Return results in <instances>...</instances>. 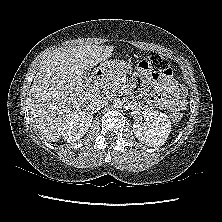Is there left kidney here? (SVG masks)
Listing matches in <instances>:
<instances>
[{
  "label": "left kidney",
  "mask_w": 222,
  "mask_h": 222,
  "mask_svg": "<svg viewBox=\"0 0 222 222\" xmlns=\"http://www.w3.org/2000/svg\"><path fill=\"white\" fill-rule=\"evenodd\" d=\"M143 121L137 120L133 123L135 137L149 147L162 146L171 131V121L162 112L145 110L142 112Z\"/></svg>",
  "instance_id": "obj_1"
}]
</instances>
